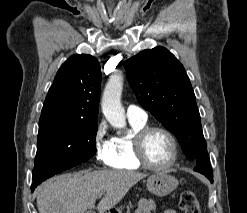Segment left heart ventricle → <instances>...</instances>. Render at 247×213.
Segmentation results:
<instances>
[{"label":"left heart ventricle","instance_id":"b2bd125f","mask_svg":"<svg viewBox=\"0 0 247 213\" xmlns=\"http://www.w3.org/2000/svg\"><path fill=\"white\" fill-rule=\"evenodd\" d=\"M144 154L153 165L168 164L172 158V145L169 138L160 131L151 132L144 143Z\"/></svg>","mask_w":247,"mask_h":213}]
</instances>
